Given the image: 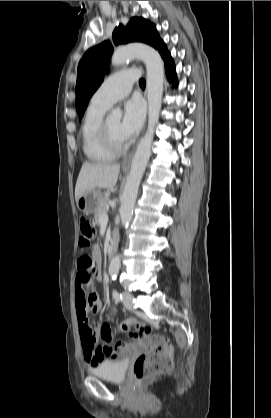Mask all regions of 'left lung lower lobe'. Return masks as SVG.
Here are the masks:
<instances>
[{"instance_id": "obj_1", "label": "left lung lower lobe", "mask_w": 271, "mask_h": 418, "mask_svg": "<svg viewBox=\"0 0 271 418\" xmlns=\"http://www.w3.org/2000/svg\"><path fill=\"white\" fill-rule=\"evenodd\" d=\"M158 51L160 52V54H161V56L164 60L165 70H166V75H167L168 80L170 82L177 83L175 66H174L173 60L171 58V55L168 52L167 47L164 44V42L159 47Z\"/></svg>"}]
</instances>
